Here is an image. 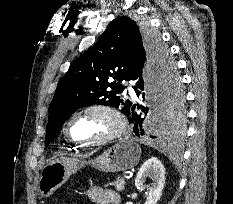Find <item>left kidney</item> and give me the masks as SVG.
I'll list each match as a JSON object with an SVG mask.
<instances>
[{"label": "left kidney", "mask_w": 233, "mask_h": 204, "mask_svg": "<svg viewBox=\"0 0 233 204\" xmlns=\"http://www.w3.org/2000/svg\"><path fill=\"white\" fill-rule=\"evenodd\" d=\"M149 178L153 183L148 188V197L145 204H157L162 195L165 185V169L163 164L156 157H151L141 166L135 179L137 189L145 188V181ZM126 204H133L127 202Z\"/></svg>", "instance_id": "5707ae66"}]
</instances>
